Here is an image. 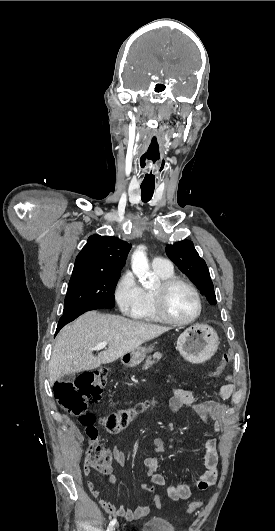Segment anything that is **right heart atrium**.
<instances>
[{
	"instance_id": "d8ad5b80",
	"label": "right heart atrium",
	"mask_w": 275,
	"mask_h": 531,
	"mask_svg": "<svg viewBox=\"0 0 275 531\" xmlns=\"http://www.w3.org/2000/svg\"><path fill=\"white\" fill-rule=\"evenodd\" d=\"M115 299L121 312L135 317L144 307L145 290L139 285L131 271L125 272L115 289Z\"/></svg>"
}]
</instances>
